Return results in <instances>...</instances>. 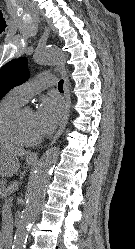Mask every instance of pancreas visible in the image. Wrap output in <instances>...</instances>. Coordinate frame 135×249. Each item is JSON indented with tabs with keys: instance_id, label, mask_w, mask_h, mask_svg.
Masks as SVG:
<instances>
[{
	"instance_id": "cf45deb5",
	"label": "pancreas",
	"mask_w": 135,
	"mask_h": 249,
	"mask_svg": "<svg viewBox=\"0 0 135 249\" xmlns=\"http://www.w3.org/2000/svg\"><path fill=\"white\" fill-rule=\"evenodd\" d=\"M16 185L15 184H13V185H10V186H8L7 188H0V194H3V195H8V194H10L13 190H14V187H15Z\"/></svg>"
}]
</instances>
